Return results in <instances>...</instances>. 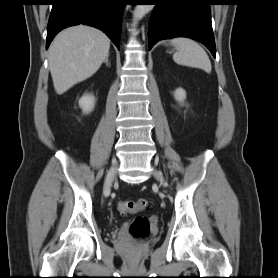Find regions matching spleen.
<instances>
[{"instance_id": "spleen-1", "label": "spleen", "mask_w": 278, "mask_h": 278, "mask_svg": "<svg viewBox=\"0 0 278 278\" xmlns=\"http://www.w3.org/2000/svg\"><path fill=\"white\" fill-rule=\"evenodd\" d=\"M177 51L173 54L174 61L179 65L203 69L211 72V62L205 50L194 40L178 37L171 40Z\"/></svg>"}]
</instances>
